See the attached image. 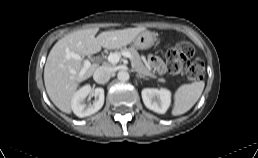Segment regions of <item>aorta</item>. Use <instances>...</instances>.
<instances>
[{
  "label": "aorta",
  "mask_w": 258,
  "mask_h": 158,
  "mask_svg": "<svg viewBox=\"0 0 258 158\" xmlns=\"http://www.w3.org/2000/svg\"><path fill=\"white\" fill-rule=\"evenodd\" d=\"M117 78L122 81V82H125L127 80H129L130 78V75L127 71L125 70H120L117 74Z\"/></svg>",
  "instance_id": "obj_1"
}]
</instances>
